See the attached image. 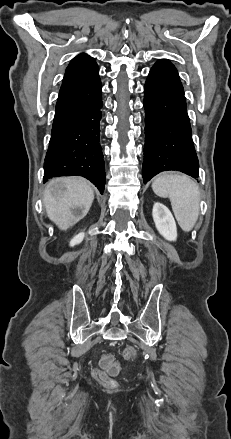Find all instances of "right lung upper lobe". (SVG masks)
<instances>
[{
    "mask_svg": "<svg viewBox=\"0 0 231 439\" xmlns=\"http://www.w3.org/2000/svg\"><path fill=\"white\" fill-rule=\"evenodd\" d=\"M98 73L99 69L94 58L84 53L77 55L66 69L59 94L88 82Z\"/></svg>",
    "mask_w": 231,
    "mask_h": 439,
    "instance_id": "cb5924a9",
    "label": "right lung upper lobe"
}]
</instances>
